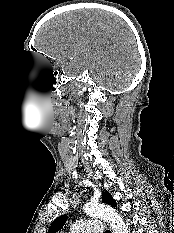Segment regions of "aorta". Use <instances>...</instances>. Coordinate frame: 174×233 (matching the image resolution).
<instances>
[{
    "mask_svg": "<svg viewBox=\"0 0 174 233\" xmlns=\"http://www.w3.org/2000/svg\"><path fill=\"white\" fill-rule=\"evenodd\" d=\"M84 212L88 216L106 220L112 229V233H129L128 226L125 224L120 214L110 206L104 204H90L85 206Z\"/></svg>",
    "mask_w": 174,
    "mask_h": 233,
    "instance_id": "aorta-1",
    "label": "aorta"
}]
</instances>
